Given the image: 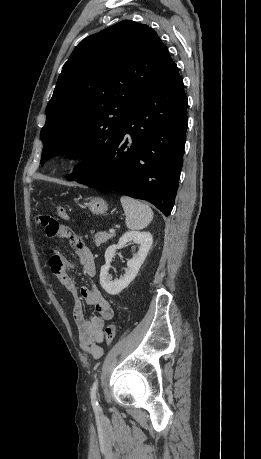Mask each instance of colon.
I'll return each instance as SVG.
<instances>
[{
  "label": "colon",
  "instance_id": "5ec220e1",
  "mask_svg": "<svg viewBox=\"0 0 261 459\" xmlns=\"http://www.w3.org/2000/svg\"><path fill=\"white\" fill-rule=\"evenodd\" d=\"M56 212L58 214V216L60 218H63V219H67L68 218V214H67V211L64 207L62 206H57L56 207ZM39 222L46 228H48L49 230H53L56 228L57 226V221L53 218H51L50 216H40L39 217ZM116 333H117V328L114 324H109L106 326L105 330H104V337H105V342L107 344V346H109L113 340L115 339V336H116Z\"/></svg>",
  "mask_w": 261,
  "mask_h": 459
}]
</instances>
